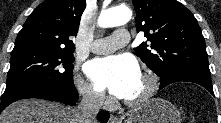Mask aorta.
Segmentation results:
<instances>
[{
	"instance_id": "aorta-1",
	"label": "aorta",
	"mask_w": 221,
	"mask_h": 123,
	"mask_svg": "<svg viewBox=\"0 0 221 123\" xmlns=\"http://www.w3.org/2000/svg\"><path fill=\"white\" fill-rule=\"evenodd\" d=\"M131 17V10L125 6H120L102 11L97 23L102 28L115 27L126 24Z\"/></svg>"
}]
</instances>
